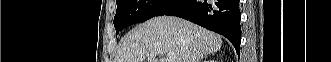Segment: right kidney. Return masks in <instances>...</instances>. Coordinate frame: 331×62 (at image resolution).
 <instances>
[{
    "instance_id": "right-kidney-1",
    "label": "right kidney",
    "mask_w": 331,
    "mask_h": 62,
    "mask_svg": "<svg viewBox=\"0 0 331 62\" xmlns=\"http://www.w3.org/2000/svg\"><path fill=\"white\" fill-rule=\"evenodd\" d=\"M207 62H214V60H208Z\"/></svg>"
}]
</instances>
